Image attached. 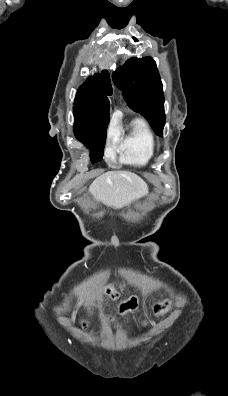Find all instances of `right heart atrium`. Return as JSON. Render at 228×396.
Segmentation results:
<instances>
[{"instance_id":"d8ad5b80","label":"right heart atrium","mask_w":228,"mask_h":396,"mask_svg":"<svg viewBox=\"0 0 228 396\" xmlns=\"http://www.w3.org/2000/svg\"><path fill=\"white\" fill-rule=\"evenodd\" d=\"M119 138V129L115 122H111L107 131L106 156L111 158L115 152Z\"/></svg>"}]
</instances>
